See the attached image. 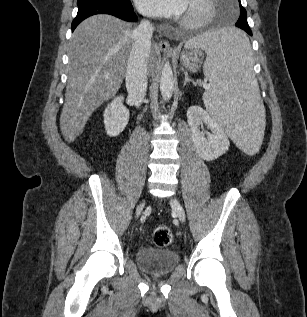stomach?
Wrapping results in <instances>:
<instances>
[{
	"label": "stomach",
	"instance_id": "obj_1",
	"mask_svg": "<svg viewBox=\"0 0 307 317\" xmlns=\"http://www.w3.org/2000/svg\"><path fill=\"white\" fill-rule=\"evenodd\" d=\"M201 52L195 50V51H186L182 53L181 56V62L183 64V66L190 72H197L199 67H200V63H201Z\"/></svg>",
	"mask_w": 307,
	"mask_h": 317
}]
</instances>
